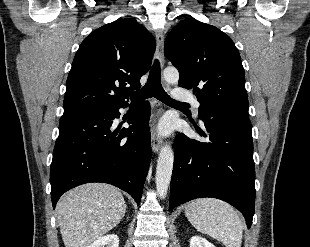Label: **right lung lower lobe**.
Instances as JSON below:
<instances>
[{"label": "right lung lower lobe", "mask_w": 310, "mask_h": 247, "mask_svg": "<svg viewBox=\"0 0 310 247\" xmlns=\"http://www.w3.org/2000/svg\"><path fill=\"white\" fill-rule=\"evenodd\" d=\"M126 106L62 115L50 169L53 208L64 192L90 182L119 187L140 204L151 157L150 105L144 102L116 137L110 127Z\"/></svg>", "instance_id": "obj_1"}]
</instances>
